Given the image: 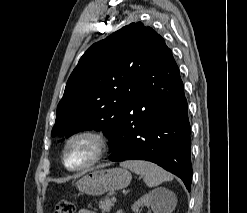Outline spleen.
Returning <instances> with one entry per match:
<instances>
[{
	"instance_id": "obj_1",
	"label": "spleen",
	"mask_w": 247,
	"mask_h": 213,
	"mask_svg": "<svg viewBox=\"0 0 247 213\" xmlns=\"http://www.w3.org/2000/svg\"><path fill=\"white\" fill-rule=\"evenodd\" d=\"M120 166L127 168L136 174L143 175L144 181L149 187H155L165 181L173 180V176L157 166L154 163L142 160H129L121 162ZM161 192L166 196H171V193L167 190H161ZM173 205L166 207L165 211L171 210Z\"/></svg>"
}]
</instances>
